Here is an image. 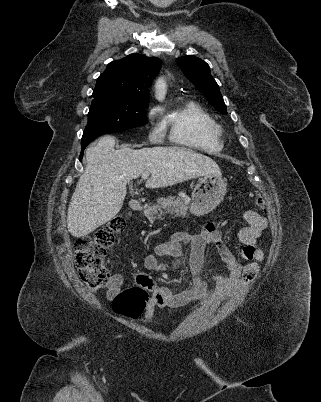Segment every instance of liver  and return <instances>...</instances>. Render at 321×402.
<instances>
[{"mask_svg":"<svg viewBox=\"0 0 321 402\" xmlns=\"http://www.w3.org/2000/svg\"><path fill=\"white\" fill-rule=\"evenodd\" d=\"M114 146L115 138L104 136L86 150L87 165L67 212L68 231L74 237H84L114 218L123 206L126 184L144 172L151 173L145 186L152 189L221 175L214 160L187 148Z\"/></svg>","mask_w":321,"mask_h":402,"instance_id":"liver-1","label":"liver"}]
</instances>
